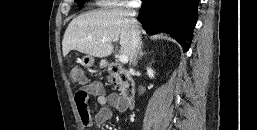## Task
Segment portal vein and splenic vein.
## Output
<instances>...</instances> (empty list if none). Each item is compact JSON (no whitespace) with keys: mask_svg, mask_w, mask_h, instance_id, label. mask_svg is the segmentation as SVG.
<instances>
[{"mask_svg":"<svg viewBox=\"0 0 257 130\" xmlns=\"http://www.w3.org/2000/svg\"><path fill=\"white\" fill-rule=\"evenodd\" d=\"M103 42H106V40H103ZM119 61L121 63H127L128 62V57L126 55H120L119 56Z\"/></svg>","mask_w":257,"mask_h":130,"instance_id":"obj_1","label":"portal vein and splenic vein"}]
</instances>
